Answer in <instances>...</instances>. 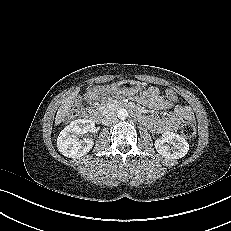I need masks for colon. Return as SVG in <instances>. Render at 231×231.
<instances>
[{
	"instance_id": "colon-1",
	"label": "colon",
	"mask_w": 231,
	"mask_h": 231,
	"mask_svg": "<svg viewBox=\"0 0 231 231\" xmlns=\"http://www.w3.org/2000/svg\"><path fill=\"white\" fill-rule=\"evenodd\" d=\"M166 96L168 100L173 103L178 101V96L173 90H168L166 92ZM79 110H80V100L77 99L72 109L70 110L68 116L72 117L77 115ZM179 131L184 138L188 140H193L196 136V125L194 121H185L180 125Z\"/></svg>"
}]
</instances>
